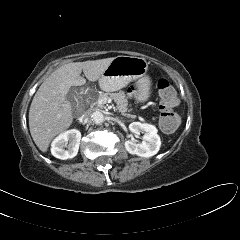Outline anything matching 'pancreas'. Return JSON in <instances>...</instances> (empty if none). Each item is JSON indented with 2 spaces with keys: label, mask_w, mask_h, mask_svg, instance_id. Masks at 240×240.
<instances>
[{
  "label": "pancreas",
  "mask_w": 240,
  "mask_h": 240,
  "mask_svg": "<svg viewBox=\"0 0 240 240\" xmlns=\"http://www.w3.org/2000/svg\"><path fill=\"white\" fill-rule=\"evenodd\" d=\"M107 98V99H112L116 102L117 104V109L118 111L125 117L128 118H135L134 115L129 114L130 110L128 108V99L123 91H119L117 93H103L99 92L91 97L88 98V101L93 104L95 103L98 98Z\"/></svg>",
  "instance_id": "obj_1"
}]
</instances>
